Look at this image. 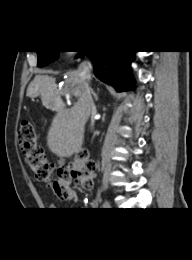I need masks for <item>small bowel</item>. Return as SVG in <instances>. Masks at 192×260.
<instances>
[{
    "label": "small bowel",
    "instance_id": "small-bowel-1",
    "mask_svg": "<svg viewBox=\"0 0 192 260\" xmlns=\"http://www.w3.org/2000/svg\"><path fill=\"white\" fill-rule=\"evenodd\" d=\"M77 198L76 191L73 189H70L68 197L65 199L67 202H74ZM57 204H51L50 209H56Z\"/></svg>",
    "mask_w": 192,
    "mask_h": 260
}]
</instances>
